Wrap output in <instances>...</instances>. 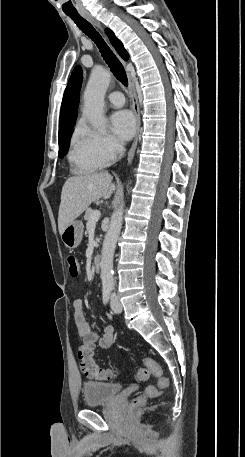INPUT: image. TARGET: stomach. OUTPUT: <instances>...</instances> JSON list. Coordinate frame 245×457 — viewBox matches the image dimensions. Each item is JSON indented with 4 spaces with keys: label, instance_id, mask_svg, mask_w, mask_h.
<instances>
[{
    "label": "stomach",
    "instance_id": "obj_1",
    "mask_svg": "<svg viewBox=\"0 0 245 457\" xmlns=\"http://www.w3.org/2000/svg\"><path fill=\"white\" fill-rule=\"evenodd\" d=\"M84 224L82 220H72L67 224L61 235V241L68 249H76L80 245L83 237Z\"/></svg>",
    "mask_w": 245,
    "mask_h": 457
}]
</instances>
